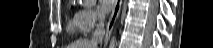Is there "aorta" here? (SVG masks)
<instances>
[{
	"instance_id": "obj_1",
	"label": "aorta",
	"mask_w": 213,
	"mask_h": 48,
	"mask_svg": "<svg viewBox=\"0 0 213 48\" xmlns=\"http://www.w3.org/2000/svg\"><path fill=\"white\" fill-rule=\"evenodd\" d=\"M84 5H91L95 2V0H80ZM117 45V39L113 36L110 40L109 48H115Z\"/></svg>"
}]
</instances>
